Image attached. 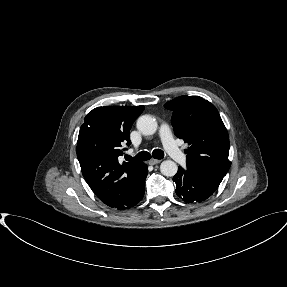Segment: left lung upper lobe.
Instances as JSON below:
<instances>
[{"mask_svg":"<svg viewBox=\"0 0 287 287\" xmlns=\"http://www.w3.org/2000/svg\"><path fill=\"white\" fill-rule=\"evenodd\" d=\"M172 110L175 135L188 143L189 172L223 178L229 170V136L215 106L199 96H180L165 105Z\"/></svg>","mask_w":287,"mask_h":287,"instance_id":"1","label":"left lung upper lobe"}]
</instances>
